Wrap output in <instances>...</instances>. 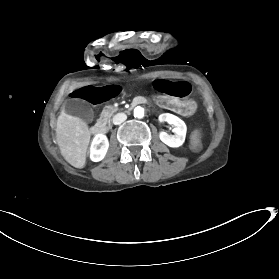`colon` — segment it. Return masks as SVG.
I'll return each instance as SVG.
<instances>
[{"instance_id":"obj_1","label":"colon","mask_w":279,"mask_h":279,"mask_svg":"<svg viewBox=\"0 0 279 279\" xmlns=\"http://www.w3.org/2000/svg\"><path fill=\"white\" fill-rule=\"evenodd\" d=\"M193 137H194L195 140H198L200 135H199V133L196 132V133H194Z\"/></svg>"}]
</instances>
